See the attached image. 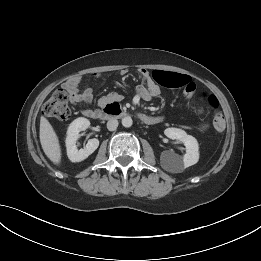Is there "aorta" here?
Masks as SVG:
<instances>
[{
    "instance_id": "762f6f07",
    "label": "aorta",
    "mask_w": 261,
    "mask_h": 261,
    "mask_svg": "<svg viewBox=\"0 0 261 261\" xmlns=\"http://www.w3.org/2000/svg\"><path fill=\"white\" fill-rule=\"evenodd\" d=\"M133 124L132 118L127 116L122 119V125L126 128L131 127Z\"/></svg>"
}]
</instances>
